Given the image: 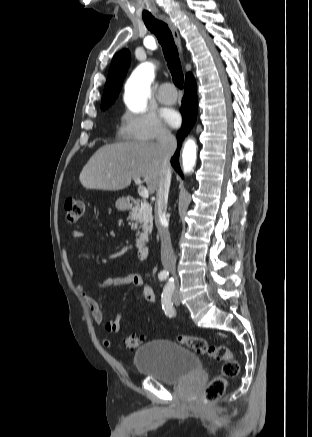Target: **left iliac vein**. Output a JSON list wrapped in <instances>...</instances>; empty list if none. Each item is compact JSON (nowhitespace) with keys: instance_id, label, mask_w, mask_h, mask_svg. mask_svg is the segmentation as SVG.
<instances>
[{"instance_id":"obj_1","label":"left iliac vein","mask_w":312,"mask_h":437,"mask_svg":"<svg viewBox=\"0 0 312 437\" xmlns=\"http://www.w3.org/2000/svg\"><path fill=\"white\" fill-rule=\"evenodd\" d=\"M172 300H173V303L175 305H179L180 304V299H179V294H178V290L177 289H175L174 292H173Z\"/></svg>"}]
</instances>
